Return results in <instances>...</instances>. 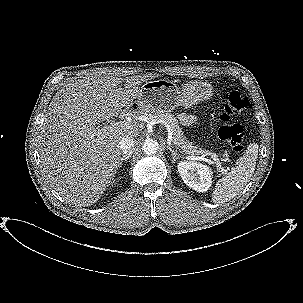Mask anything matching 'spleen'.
Wrapping results in <instances>:
<instances>
[{
  "label": "spleen",
  "mask_w": 303,
  "mask_h": 303,
  "mask_svg": "<svg viewBox=\"0 0 303 303\" xmlns=\"http://www.w3.org/2000/svg\"><path fill=\"white\" fill-rule=\"evenodd\" d=\"M258 148L257 143L248 145L243 156L236 160L235 167L218 180L212 193L213 203L222 204L230 201L243 190L255 171Z\"/></svg>",
  "instance_id": "spleen-1"
}]
</instances>
